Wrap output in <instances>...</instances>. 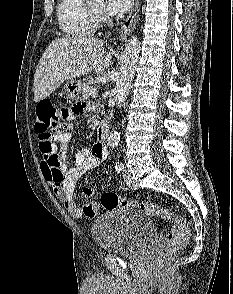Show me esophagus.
I'll return each mask as SVG.
<instances>
[{
  "label": "esophagus",
  "mask_w": 233,
  "mask_h": 294,
  "mask_svg": "<svg viewBox=\"0 0 233 294\" xmlns=\"http://www.w3.org/2000/svg\"><path fill=\"white\" fill-rule=\"evenodd\" d=\"M139 7H140V0H135L134 6H133L130 14L126 18L125 23L122 27V31H121V35H120V40L122 42L127 39L128 35L131 32V29L133 27L135 19L139 13Z\"/></svg>",
  "instance_id": "34e87169"
}]
</instances>
